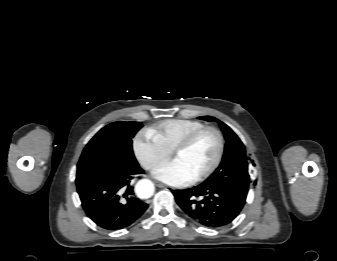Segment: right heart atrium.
I'll use <instances>...</instances> for the list:
<instances>
[{
    "mask_svg": "<svg viewBox=\"0 0 337 261\" xmlns=\"http://www.w3.org/2000/svg\"><path fill=\"white\" fill-rule=\"evenodd\" d=\"M133 149L140 164L149 171L154 170L170 157V153L149 131H141L136 135Z\"/></svg>",
    "mask_w": 337,
    "mask_h": 261,
    "instance_id": "d8ad5b80",
    "label": "right heart atrium"
}]
</instances>
